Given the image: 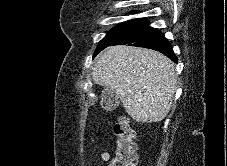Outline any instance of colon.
I'll list each match as a JSON object with an SVG mask.
<instances>
[{
    "mask_svg": "<svg viewBox=\"0 0 227 166\" xmlns=\"http://www.w3.org/2000/svg\"><path fill=\"white\" fill-rule=\"evenodd\" d=\"M116 149L109 166H135V132L126 118L119 119L114 125Z\"/></svg>",
    "mask_w": 227,
    "mask_h": 166,
    "instance_id": "5ec220e1",
    "label": "colon"
}]
</instances>
